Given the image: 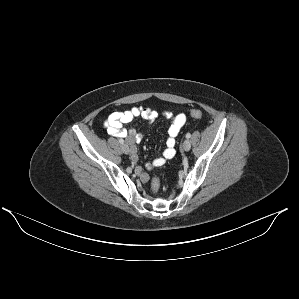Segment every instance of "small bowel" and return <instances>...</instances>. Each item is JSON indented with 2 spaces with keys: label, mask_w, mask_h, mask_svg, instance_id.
I'll list each match as a JSON object with an SVG mask.
<instances>
[{
  "label": "small bowel",
  "mask_w": 299,
  "mask_h": 299,
  "mask_svg": "<svg viewBox=\"0 0 299 299\" xmlns=\"http://www.w3.org/2000/svg\"><path fill=\"white\" fill-rule=\"evenodd\" d=\"M163 115L167 119L171 120L170 126L168 128L166 147L161 156L156 157L151 163L146 164L145 168L147 169L160 167L164 165L167 160L173 159L175 157L176 137L186 122V117L184 114L173 116L171 112L165 111ZM138 117H142L149 122H153L157 118V112L150 108H132L122 112H113L104 120V127L108 134L121 139L124 138L129 144L131 147V160L133 162L138 160L136 144L140 142L143 134L133 129H127L124 127V125ZM136 173L142 182H148L149 176L144 168L137 167Z\"/></svg>",
  "instance_id": "obj_1"
}]
</instances>
